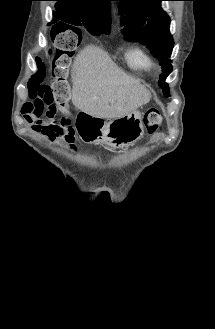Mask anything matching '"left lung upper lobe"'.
<instances>
[{
    "label": "left lung upper lobe",
    "mask_w": 215,
    "mask_h": 329,
    "mask_svg": "<svg viewBox=\"0 0 215 329\" xmlns=\"http://www.w3.org/2000/svg\"><path fill=\"white\" fill-rule=\"evenodd\" d=\"M120 2L121 24L128 41L145 44L152 54L159 59L163 74L159 86L169 95L165 78L171 73V56L174 41L169 32L170 18L162 10L164 0H116Z\"/></svg>",
    "instance_id": "1"
}]
</instances>
